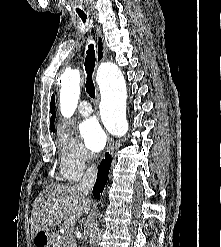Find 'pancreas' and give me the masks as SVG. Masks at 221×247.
<instances>
[{
	"mask_svg": "<svg viewBox=\"0 0 221 247\" xmlns=\"http://www.w3.org/2000/svg\"><path fill=\"white\" fill-rule=\"evenodd\" d=\"M57 236L58 234H55L53 247H71V240L68 237L62 236L58 238Z\"/></svg>",
	"mask_w": 221,
	"mask_h": 247,
	"instance_id": "pancreas-1",
	"label": "pancreas"
}]
</instances>
